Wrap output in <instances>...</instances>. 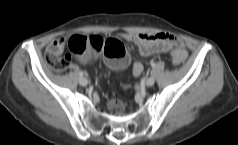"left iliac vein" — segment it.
I'll list each match as a JSON object with an SVG mask.
<instances>
[{
  "mask_svg": "<svg viewBox=\"0 0 238 145\" xmlns=\"http://www.w3.org/2000/svg\"><path fill=\"white\" fill-rule=\"evenodd\" d=\"M155 83V79L153 77H149L145 80V85L148 87L153 86Z\"/></svg>",
  "mask_w": 238,
  "mask_h": 145,
  "instance_id": "obj_1",
  "label": "left iliac vein"
}]
</instances>
